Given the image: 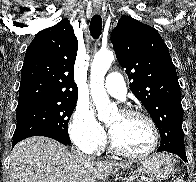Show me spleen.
Listing matches in <instances>:
<instances>
[{
	"mask_svg": "<svg viewBox=\"0 0 196 182\" xmlns=\"http://www.w3.org/2000/svg\"><path fill=\"white\" fill-rule=\"evenodd\" d=\"M174 182H184V180L183 179H177Z\"/></svg>",
	"mask_w": 196,
	"mask_h": 182,
	"instance_id": "spleen-1",
	"label": "spleen"
}]
</instances>
